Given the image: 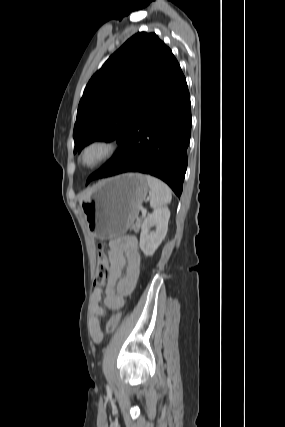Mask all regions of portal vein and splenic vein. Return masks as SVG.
<instances>
[{"instance_id": "18ae733b", "label": "portal vein and splenic vein", "mask_w": 285, "mask_h": 427, "mask_svg": "<svg viewBox=\"0 0 285 427\" xmlns=\"http://www.w3.org/2000/svg\"><path fill=\"white\" fill-rule=\"evenodd\" d=\"M146 212H147V211H146L145 209H142V214H143V215H145V214H146Z\"/></svg>"}]
</instances>
